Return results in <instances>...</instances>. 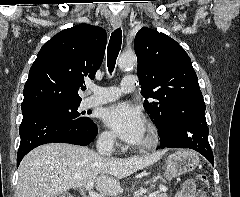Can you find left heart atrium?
I'll return each mask as SVG.
<instances>
[{
  "mask_svg": "<svg viewBox=\"0 0 240 197\" xmlns=\"http://www.w3.org/2000/svg\"><path fill=\"white\" fill-rule=\"evenodd\" d=\"M103 122L127 143H138L146 131L145 118L136 106L121 102L106 108Z\"/></svg>",
  "mask_w": 240,
  "mask_h": 197,
  "instance_id": "1",
  "label": "left heart atrium"
}]
</instances>
